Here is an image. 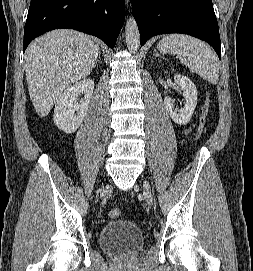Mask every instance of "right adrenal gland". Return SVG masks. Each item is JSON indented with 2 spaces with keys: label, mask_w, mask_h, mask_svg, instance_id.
Instances as JSON below:
<instances>
[{
  "label": "right adrenal gland",
  "mask_w": 253,
  "mask_h": 271,
  "mask_svg": "<svg viewBox=\"0 0 253 271\" xmlns=\"http://www.w3.org/2000/svg\"><path fill=\"white\" fill-rule=\"evenodd\" d=\"M96 62H98V63L100 62V54H99L98 59H97Z\"/></svg>",
  "instance_id": "1"
}]
</instances>
